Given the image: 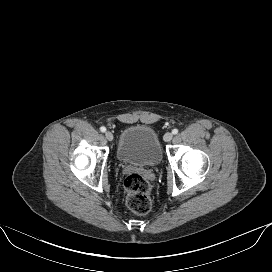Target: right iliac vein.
I'll list each match as a JSON object with an SVG mask.
<instances>
[{
    "label": "right iliac vein",
    "instance_id": "right-iliac-vein-1",
    "mask_svg": "<svg viewBox=\"0 0 272 272\" xmlns=\"http://www.w3.org/2000/svg\"><path fill=\"white\" fill-rule=\"evenodd\" d=\"M105 136H106V139H107L108 141H112V140H113V134H112L110 131H107V132L105 133Z\"/></svg>",
    "mask_w": 272,
    "mask_h": 272
}]
</instances>
